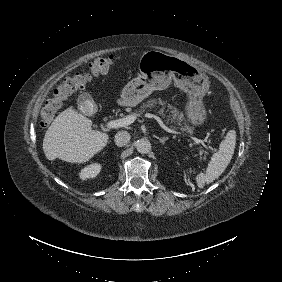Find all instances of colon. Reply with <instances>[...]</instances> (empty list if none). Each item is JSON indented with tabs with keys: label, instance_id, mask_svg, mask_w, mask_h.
Segmentation results:
<instances>
[{
	"label": "colon",
	"instance_id": "colon-1",
	"mask_svg": "<svg viewBox=\"0 0 282 282\" xmlns=\"http://www.w3.org/2000/svg\"><path fill=\"white\" fill-rule=\"evenodd\" d=\"M114 64L115 58L112 55L97 57L88 72L75 74L60 84L40 113V125L48 127L70 95L79 90L92 76L107 73Z\"/></svg>",
	"mask_w": 282,
	"mask_h": 282
}]
</instances>
